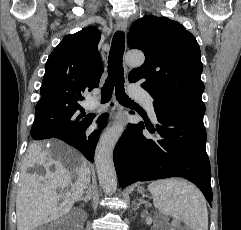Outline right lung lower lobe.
I'll use <instances>...</instances> for the list:
<instances>
[{
	"label": "right lung lower lobe",
	"mask_w": 241,
	"mask_h": 230,
	"mask_svg": "<svg viewBox=\"0 0 241 230\" xmlns=\"http://www.w3.org/2000/svg\"><path fill=\"white\" fill-rule=\"evenodd\" d=\"M108 117V114H103L99 117L98 122L101 124V129L105 127V122ZM94 117H88L86 122L76 131L72 132H59V131H49L45 127H42L41 124L37 121V112H35V120L31 128V135L43 139L49 138H58L78 149L89 161L93 162L94 152L96 144L99 139L100 130L86 136L85 131L92 123Z\"/></svg>",
	"instance_id": "right-lung-lower-lobe-1"
}]
</instances>
